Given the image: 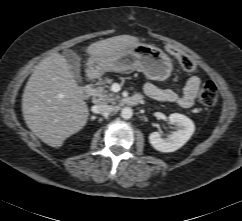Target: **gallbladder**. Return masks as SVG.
I'll return each instance as SVG.
<instances>
[{
	"instance_id": "bac80fb5",
	"label": "gallbladder",
	"mask_w": 242,
	"mask_h": 221,
	"mask_svg": "<svg viewBox=\"0 0 242 221\" xmlns=\"http://www.w3.org/2000/svg\"><path fill=\"white\" fill-rule=\"evenodd\" d=\"M63 56L66 59V61L69 64L70 70L72 72V75L74 78L78 81L81 82L82 78L80 76V57L77 55L76 52H74L71 49H65L63 51Z\"/></svg>"
}]
</instances>
